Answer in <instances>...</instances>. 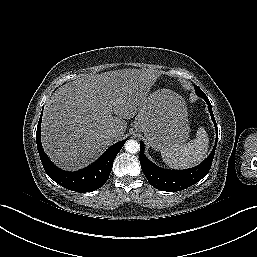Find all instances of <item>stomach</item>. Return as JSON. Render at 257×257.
I'll return each mask as SVG.
<instances>
[{
  "instance_id": "1",
  "label": "stomach",
  "mask_w": 257,
  "mask_h": 257,
  "mask_svg": "<svg viewBox=\"0 0 257 257\" xmlns=\"http://www.w3.org/2000/svg\"><path fill=\"white\" fill-rule=\"evenodd\" d=\"M134 128L155 150L183 144L190 132L184 99L169 89L152 92L139 109Z\"/></svg>"
}]
</instances>
